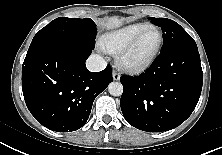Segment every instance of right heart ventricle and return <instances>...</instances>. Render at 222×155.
Segmentation results:
<instances>
[{
  "label": "right heart ventricle",
  "instance_id": "right-heart-ventricle-1",
  "mask_svg": "<svg viewBox=\"0 0 222 155\" xmlns=\"http://www.w3.org/2000/svg\"><path fill=\"white\" fill-rule=\"evenodd\" d=\"M151 26L152 24L144 22L125 25L121 28L104 34L101 38V45L104 50L110 53H118L141 32Z\"/></svg>",
  "mask_w": 222,
  "mask_h": 155
}]
</instances>
